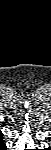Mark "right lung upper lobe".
Returning <instances> with one entry per match:
<instances>
[{"mask_svg": "<svg viewBox=\"0 0 51 150\" xmlns=\"http://www.w3.org/2000/svg\"><path fill=\"white\" fill-rule=\"evenodd\" d=\"M1 137H2V134H0V140L2 139Z\"/></svg>", "mask_w": 51, "mask_h": 150, "instance_id": "cb5924a9", "label": "right lung upper lobe"}]
</instances>
